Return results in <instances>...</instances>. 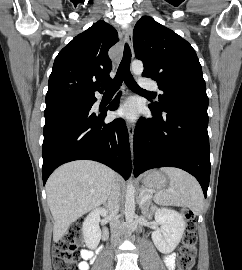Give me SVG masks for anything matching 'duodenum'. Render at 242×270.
Instances as JSON below:
<instances>
[{"label": "duodenum", "instance_id": "410a0bca", "mask_svg": "<svg viewBox=\"0 0 242 270\" xmlns=\"http://www.w3.org/2000/svg\"><path fill=\"white\" fill-rule=\"evenodd\" d=\"M107 237V231L105 230L104 232H103V238H106Z\"/></svg>", "mask_w": 242, "mask_h": 270}]
</instances>
